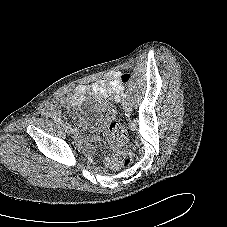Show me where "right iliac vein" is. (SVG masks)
Segmentation results:
<instances>
[{
	"instance_id": "1",
	"label": "right iliac vein",
	"mask_w": 227,
	"mask_h": 227,
	"mask_svg": "<svg viewBox=\"0 0 227 227\" xmlns=\"http://www.w3.org/2000/svg\"><path fill=\"white\" fill-rule=\"evenodd\" d=\"M61 125L67 133H72V128L67 122H61Z\"/></svg>"
}]
</instances>
